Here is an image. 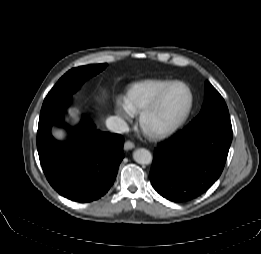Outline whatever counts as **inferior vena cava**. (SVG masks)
I'll return each mask as SVG.
<instances>
[{"label":"inferior vena cava","instance_id":"obj_1","mask_svg":"<svg viewBox=\"0 0 261 254\" xmlns=\"http://www.w3.org/2000/svg\"><path fill=\"white\" fill-rule=\"evenodd\" d=\"M106 126L112 132L119 134L126 133L129 130L127 123L117 116L109 117L106 120Z\"/></svg>","mask_w":261,"mask_h":254}]
</instances>
